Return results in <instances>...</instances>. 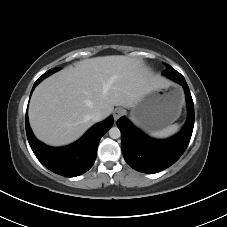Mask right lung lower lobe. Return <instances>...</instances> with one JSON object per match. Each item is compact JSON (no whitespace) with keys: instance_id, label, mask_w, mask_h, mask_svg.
Returning a JSON list of instances; mask_svg holds the SVG:
<instances>
[{"instance_id":"98d812e1","label":"right lung lower lobe","mask_w":227,"mask_h":227,"mask_svg":"<svg viewBox=\"0 0 227 227\" xmlns=\"http://www.w3.org/2000/svg\"><path fill=\"white\" fill-rule=\"evenodd\" d=\"M42 80L39 78L33 89ZM113 121L114 119L111 116L107 120L94 125L77 142L60 148L46 146L34 137L29 126L27 113L25 124L28 142L38 160L56 174L75 177L92 167L96 159L100 138L111 128Z\"/></svg>"}]
</instances>
